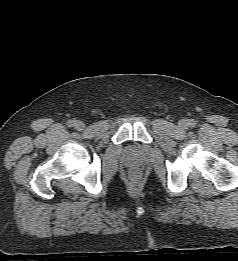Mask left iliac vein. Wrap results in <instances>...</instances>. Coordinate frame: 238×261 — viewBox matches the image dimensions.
I'll return each instance as SVG.
<instances>
[{"label":"left iliac vein","mask_w":238,"mask_h":261,"mask_svg":"<svg viewBox=\"0 0 238 261\" xmlns=\"http://www.w3.org/2000/svg\"><path fill=\"white\" fill-rule=\"evenodd\" d=\"M180 126L181 127H185L186 126V122L185 121H181Z\"/></svg>","instance_id":"4c4485c4"}]
</instances>
